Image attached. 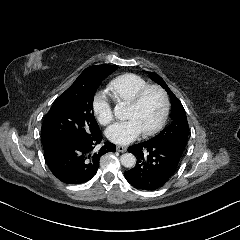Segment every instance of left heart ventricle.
<instances>
[{"label": "left heart ventricle", "instance_id": "b2bd125f", "mask_svg": "<svg viewBox=\"0 0 240 240\" xmlns=\"http://www.w3.org/2000/svg\"><path fill=\"white\" fill-rule=\"evenodd\" d=\"M161 113V96L157 91L151 90L145 94L137 108H126L124 119L136 121L142 131H147L158 123Z\"/></svg>", "mask_w": 240, "mask_h": 240}]
</instances>
